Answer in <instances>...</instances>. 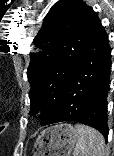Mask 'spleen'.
I'll return each mask as SVG.
<instances>
[{
	"mask_svg": "<svg viewBox=\"0 0 114 156\" xmlns=\"http://www.w3.org/2000/svg\"><path fill=\"white\" fill-rule=\"evenodd\" d=\"M77 143L73 150V156H107L105 152V140L102 134L95 129L77 124Z\"/></svg>",
	"mask_w": 114,
	"mask_h": 156,
	"instance_id": "1",
	"label": "spleen"
}]
</instances>
